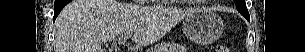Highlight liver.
<instances>
[{
	"label": "liver",
	"mask_w": 305,
	"mask_h": 52,
	"mask_svg": "<svg viewBox=\"0 0 305 52\" xmlns=\"http://www.w3.org/2000/svg\"><path fill=\"white\" fill-rule=\"evenodd\" d=\"M192 10L116 0H73L56 19L54 52H104L102 42L127 33L139 45L153 44Z\"/></svg>",
	"instance_id": "1"
}]
</instances>
